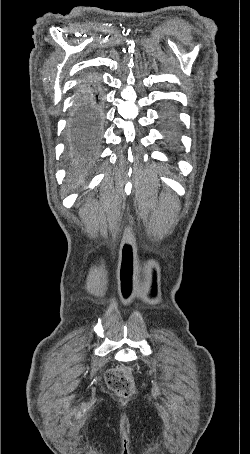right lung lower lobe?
I'll use <instances>...</instances> for the list:
<instances>
[{"instance_id": "1", "label": "right lung lower lobe", "mask_w": 250, "mask_h": 454, "mask_svg": "<svg viewBox=\"0 0 250 454\" xmlns=\"http://www.w3.org/2000/svg\"><path fill=\"white\" fill-rule=\"evenodd\" d=\"M104 99L101 81L94 72L81 75L69 124L80 143L96 146L102 137Z\"/></svg>"}]
</instances>
